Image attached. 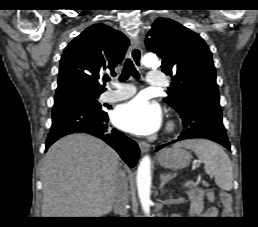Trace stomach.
<instances>
[{
  "mask_svg": "<svg viewBox=\"0 0 258 227\" xmlns=\"http://www.w3.org/2000/svg\"><path fill=\"white\" fill-rule=\"evenodd\" d=\"M192 159V155L182 148H167L158 155V163L167 169H181L187 167Z\"/></svg>",
  "mask_w": 258,
  "mask_h": 227,
  "instance_id": "0dacf381",
  "label": "stomach"
}]
</instances>
